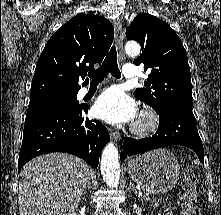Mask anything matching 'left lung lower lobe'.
<instances>
[{
  "mask_svg": "<svg viewBox=\"0 0 221 215\" xmlns=\"http://www.w3.org/2000/svg\"><path fill=\"white\" fill-rule=\"evenodd\" d=\"M159 117L158 130L152 137L140 140L125 138L120 154L121 162L127 156L166 146L183 145L191 148L198 155L201 163L204 164L203 145L193 112L173 110L159 114Z\"/></svg>",
  "mask_w": 221,
  "mask_h": 215,
  "instance_id": "obj_1",
  "label": "left lung lower lobe"
}]
</instances>
